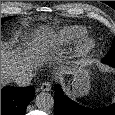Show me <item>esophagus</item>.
<instances>
[{"label": "esophagus", "instance_id": "esophagus-1", "mask_svg": "<svg viewBox=\"0 0 115 115\" xmlns=\"http://www.w3.org/2000/svg\"><path fill=\"white\" fill-rule=\"evenodd\" d=\"M41 91H50L51 90V83L50 82H43L40 86Z\"/></svg>", "mask_w": 115, "mask_h": 115}]
</instances>
